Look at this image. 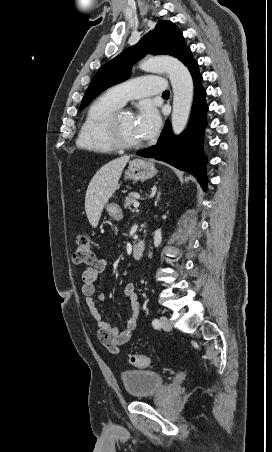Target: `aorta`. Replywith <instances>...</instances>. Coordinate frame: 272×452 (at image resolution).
<instances>
[{"label": "aorta", "instance_id": "762f6f07", "mask_svg": "<svg viewBox=\"0 0 272 452\" xmlns=\"http://www.w3.org/2000/svg\"><path fill=\"white\" fill-rule=\"evenodd\" d=\"M146 72H166L173 87L172 129L180 134L188 121L193 101V80L187 67L178 59L169 56L148 58L140 64Z\"/></svg>", "mask_w": 272, "mask_h": 452}]
</instances>
